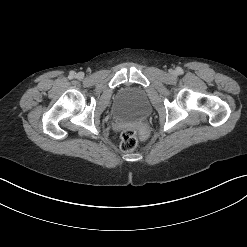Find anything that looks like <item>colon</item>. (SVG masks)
I'll use <instances>...</instances> for the list:
<instances>
[{
  "instance_id": "5ec220e1",
  "label": "colon",
  "mask_w": 247,
  "mask_h": 247,
  "mask_svg": "<svg viewBox=\"0 0 247 247\" xmlns=\"http://www.w3.org/2000/svg\"><path fill=\"white\" fill-rule=\"evenodd\" d=\"M138 143L136 132L133 129H124L121 133L120 149L123 152L133 151Z\"/></svg>"
}]
</instances>
